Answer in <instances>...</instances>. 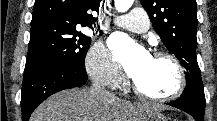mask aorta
<instances>
[{"label": "aorta", "instance_id": "aorta-1", "mask_svg": "<svg viewBox=\"0 0 217 121\" xmlns=\"http://www.w3.org/2000/svg\"><path fill=\"white\" fill-rule=\"evenodd\" d=\"M134 0H115V8L118 12H126L133 4Z\"/></svg>", "mask_w": 217, "mask_h": 121}]
</instances>
